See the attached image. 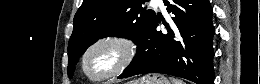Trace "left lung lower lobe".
<instances>
[{
    "instance_id": "obj_1",
    "label": "left lung lower lobe",
    "mask_w": 260,
    "mask_h": 84,
    "mask_svg": "<svg viewBox=\"0 0 260 84\" xmlns=\"http://www.w3.org/2000/svg\"><path fill=\"white\" fill-rule=\"evenodd\" d=\"M172 14L163 21L164 32L157 31L161 21L155 17L139 58L118 77L142 73H163L182 77L197 84H213L214 27L209 0H163Z\"/></svg>"
}]
</instances>
